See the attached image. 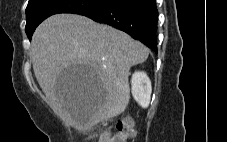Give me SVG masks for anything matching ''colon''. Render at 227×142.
Listing matches in <instances>:
<instances>
[{"label": "colon", "instance_id": "colon-1", "mask_svg": "<svg viewBox=\"0 0 227 142\" xmlns=\"http://www.w3.org/2000/svg\"><path fill=\"white\" fill-rule=\"evenodd\" d=\"M135 132L134 122L130 118H125L117 122L114 130L105 131L99 142H127Z\"/></svg>", "mask_w": 227, "mask_h": 142}]
</instances>
